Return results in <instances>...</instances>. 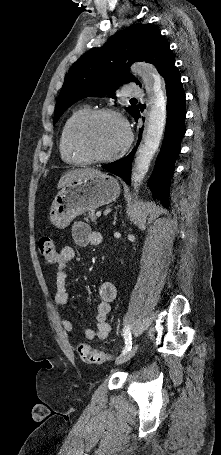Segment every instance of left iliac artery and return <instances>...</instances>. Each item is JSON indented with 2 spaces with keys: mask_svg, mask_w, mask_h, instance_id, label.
<instances>
[{
  "mask_svg": "<svg viewBox=\"0 0 221 455\" xmlns=\"http://www.w3.org/2000/svg\"><path fill=\"white\" fill-rule=\"evenodd\" d=\"M124 339H125V349L122 354L126 353L132 348V337L129 326H125L124 330Z\"/></svg>",
  "mask_w": 221,
  "mask_h": 455,
  "instance_id": "1",
  "label": "left iliac artery"
}]
</instances>
